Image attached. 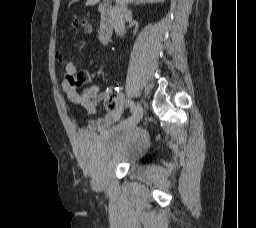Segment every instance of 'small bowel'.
I'll use <instances>...</instances> for the list:
<instances>
[{
  "mask_svg": "<svg viewBox=\"0 0 256 228\" xmlns=\"http://www.w3.org/2000/svg\"><path fill=\"white\" fill-rule=\"evenodd\" d=\"M75 69L72 62L66 63V70L63 69L62 88L74 103L84 107L87 114H94L97 111L98 102L105 98L112 89L101 91L99 86L93 85L80 91L81 86L92 81V74L88 70L76 73ZM116 94L117 110L103 118L90 120L87 126L81 130V135L105 132L109 126L119 121L123 114V103L120 93Z\"/></svg>",
  "mask_w": 256,
  "mask_h": 228,
  "instance_id": "1",
  "label": "small bowel"
}]
</instances>
